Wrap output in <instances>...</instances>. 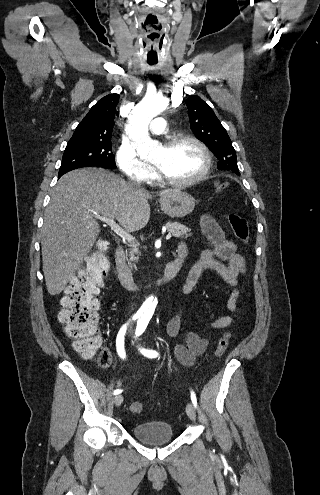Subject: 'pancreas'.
<instances>
[{
  "instance_id": "pancreas-1",
  "label": "pancreas",
  "mask_w": 320,
  "mask_h": 495,
  "mask_svg": "<svg viewBox=\"0 0 320 495\" xmlns=\"http://www.w3.org/2000/svg\"><path fill=\"white\" fill-rule=\"evenodd\" d=\"M166 229H167L168 233L173 235L174 237L187 238V237L191 236V234L189 233L191 230L188 227H186L185 225L180 224L178 222H174V223L168 222L166 224ZM138 253H139L138 248L136 247V245H134L133 248L130 250L131 262L132 261L134 262L138 259V257H135V255ZM131 262H129L130 269L136 268L135 264H132Z\"/></svg>"
}]
</instances>
